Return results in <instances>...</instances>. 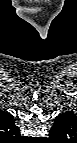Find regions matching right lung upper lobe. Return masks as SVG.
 <instances>
[{
  "label": "right lung upper lobe",
  "instance_id": "right-lung-upper-lobe-1",
  "mask_svg": "<svg viewBox=\"0 0 77 143\" xmlns=\"http://www.w3.org/2000/svg\"><path fill=\"white\" fill-rule=\"evenodd\" d=\"M0 127L8 135H17L19 130L14 123L13 116L7 112H0Z\"/></svg>",
  "mask_w": 77,
  "mask_h": 143
}]
</instances>
